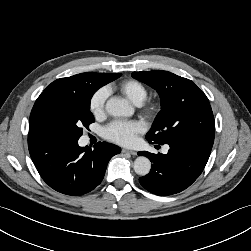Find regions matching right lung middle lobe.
<instances>
[{
    "label": "right lung middle lobe",
    "mask_w": 251,
    "mask_h": 251,
    "mask_svg": "<svg viewBox=\"0 0 251 251\" xmlns=\"http://www.w3.org/2000/svg\"><path fill=\"white\" fill-rule=\"evenodd\" d=\"M120 76V73H86L74 91L41 94L31 111L29 128L53 138L79 139L83 128L89 129L95 121L90 112L93 94Z\"/></svg>",
    "instance_id": "right-lung-middle-lobe-1"
}]
</instances>
